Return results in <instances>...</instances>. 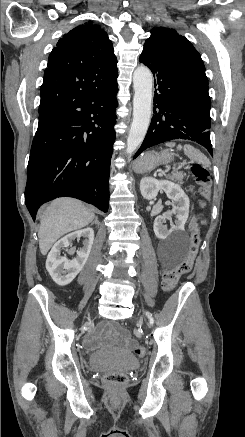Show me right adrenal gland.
I'll return each instance as SVG.
<instances>
[{
  "label": "right adrenal gland",
  "instance_id": "obj_1",
  "mask_svg": "<svg viewBox=\"0 0 245 437\" xmlns=\"http://www.w3.org/2000/svg\"><path fill=\"white\" fill-rule=\"evenodd\" d=\"M97 224V225H99L100 223H99V221H98V219H97V217L95 218V220H94V222L92 223V224Z\"/></svg>",
  "mask_w": 245,
  "mask_h": 437
}]
</instances>
